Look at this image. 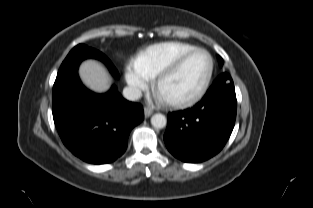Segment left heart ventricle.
<instances>
[{
	"mask_svg": "<svg viewBox=\"0 0 313 208\" xmlns=\"http://www.w3.org/2000/svg\"><path fill=\"white\" fill-rule=\"evenodd\" d=\"M209 69L205 54L196 53L186 60L181 69L160 88L162 99H185L193 96L204 82Z\"/></svg>",
	"mask_w": 313,
	"mask_h": 208,
	"instance_id": "obj_1",
	"label": "left heart ventricle"
}]
</instances>
